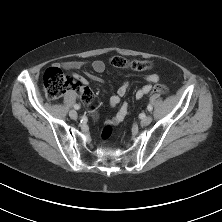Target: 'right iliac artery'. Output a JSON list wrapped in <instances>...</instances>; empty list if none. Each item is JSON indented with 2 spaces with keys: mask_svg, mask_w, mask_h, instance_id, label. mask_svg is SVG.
Segmentation results:
<instances>
[{
  "mask_svg": "<svg viewBox=\"0 0 222 222\" xmlns=\"http://www.w3.org/2000/svg\"><path fill=\"white\" fill-rule=\"evenodd\" d=\"M74 108H75L76 110H78V109H80V106H79L78 104H75V105H74Z\"/></svg>",
  "mask_w": 222,
  "mask_h": 222,
  "instance_id": "obj_1",
  "label": "right iliac artery"
}]
</instances>
